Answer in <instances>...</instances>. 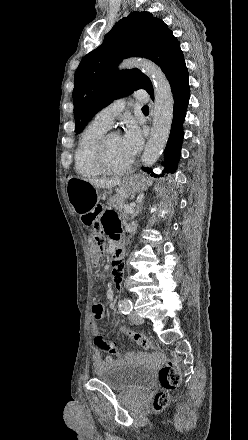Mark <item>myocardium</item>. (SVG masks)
<instances>
[{
    "instance_id": "1",
    "label": "myocardium",
    "mask_w": 248,
    "mask_h": 440,
    "mask_svg": "<svg viewBox=\"0 0 248 440\" xmlns=\"http://www.w3.org/2000/svg\"><path fill=\"white\" fill-rule=\"evenodd\" d=\"M114 134L115 133H105L102 136L96 148L95 160L98 167L104 174L121 175L131 170L133 162L131 161L128 165L122 168H114L110 165L108 160V140L110 136Z\"/></svg>"
}]
</instances>
